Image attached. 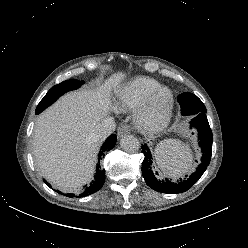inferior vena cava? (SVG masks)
Returning <instances> with one entry per match:
<instances>
[{
	"label": "inferior vena cava",
	"mask_w": 248,
	"mask_h": 248,
	"mask_svg": "<svg viewBox=\"0 0 248 248\" xmlns=\"http://www.w3.org/2000/svg\"><path fill=\"white\" fill-rule=\"evenodd\" d=\"M115 128L116 124L112 117L104 118L94 128L92 137L95 141H103L115 131Z\"/></svg>",
	"instance_id": "602c4592"
}]
</instances>
